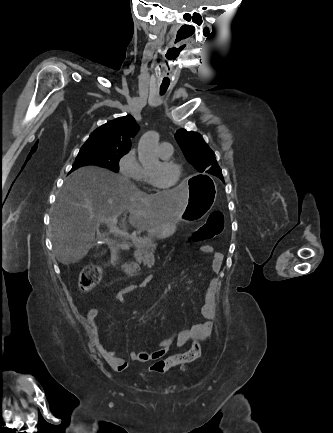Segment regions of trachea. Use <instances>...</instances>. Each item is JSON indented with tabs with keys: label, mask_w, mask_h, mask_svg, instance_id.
Instances as JSON below:
<instances>
[{
	"label": "trachea",
	"mask_w": 333,
	"mask_h": 433,
	"mask_svg": "<svg viewBox=\"0 0 333 433\" xmlns=\"http://www.w3.org/2000/svg\"><path fill=\"white\" fill-rule=\"evenodd\" d=\"M167 88H168V87H163V86H161V87H160V93H161V94H164V93L167 91Z\"/></svg>",
	"instance_id": "trachea-1"
}]
</instances>
